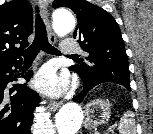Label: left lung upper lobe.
<instances>
[{"instance_id": "1", "label": "left lung upper lobe", "mask_w": 153, "mask_h": 134, "mask_svg": "<svg viewBox=\"0 0 153 134\" xmlns=\"http://www.w3.org/2000/svg\"><path fill=\"white\" fill-rule=\"evenodd\" d=\"M52 6L68 7L76 14L78 26L73 37L79 38L81 47L89 53L87 64L74 65L71 69L88 83L114 82L128 88L129 64L115 19L86 0H55Z\"/></svg>"}]
</instances>
